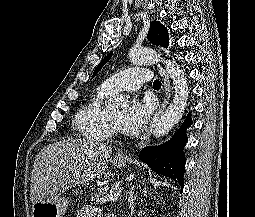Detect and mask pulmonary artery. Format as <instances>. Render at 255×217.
<instances>
[{"label": "pulmonary artery", "instance_id": "e3ab8cb5", "mask_svg": "<svg viewBox=\"0 0 255 217\" xmlns=\"http://www.w3.org/2000/svg\"><path fill=\"white\" fill-rule=\"evenodd\" d=\"M151 79L149 70L141 67H133L120 71L106 79L102 87L109 93L118 91H134Z\"/></svg>", "mask_w": 255, "mask_h": 217}]
</instances>
